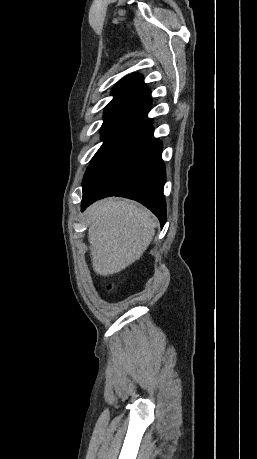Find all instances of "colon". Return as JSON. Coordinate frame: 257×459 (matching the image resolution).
<instances>
[{
  "label": "colon",
  "instance_id": "1",
  "mask_svg": "<svg viewBox=\"0 0 257 459\" xmlns=\"http://www.w3.org/2000/svg\"><path fill=\"white\" fill-rule=\"evenodd\" d=\"M107 289H108V290H112V289H113V285H112V284H109V285L107 286Z\"/></svg>",
  "mask_w": 257,
  "mask_h": 459
}]
</instances>
